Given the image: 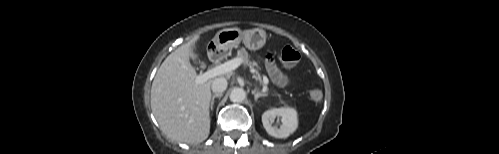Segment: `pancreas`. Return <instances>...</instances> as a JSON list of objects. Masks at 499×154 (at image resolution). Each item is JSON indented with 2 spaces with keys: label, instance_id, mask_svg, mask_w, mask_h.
<instances>
[{
  "label": "pancreas",
  "instance_id": "obj_1",
  "mask_svg": "<svg viewBox=\"0 0 499 154\" xmlns=\"http://www.w3.org/2000/svg\"><path fill=\"white\" fill-rule=\"evenodd\" d=\"M237 57L242 59V63L250 66L253 69L254 78L261 82L262 77L258 71V64L251 61V57L248 55V52L245 50V48H241L238 50Z\"/></svg>",
  "mask_w": 499,
  "mask_h": 154
}]
</instances>
